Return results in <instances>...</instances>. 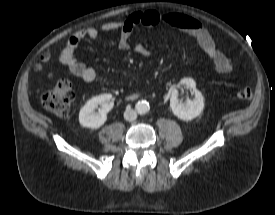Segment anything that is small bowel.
I'll use <instances>...</instances> for the list:
<instances>
[{"label":"small bowel","instance_id":"obj_1","mask_svg":"<svg viewBox=\"0 0 275 215\" xmlns=\"http://www.w3.org/2000/svg\"><path fill=\"white\" fill-rule=\"evenodd\" d=\"M139 25L145 27L163 26L178 29L196 40L199 47L212 61L217 72L228 73L232 70L230 59L218 50L212 36L199 20L181 13L160 12L154 9L134 12L123 21L106 22L99 28L90 27L73 33L68 38L65 48L61 52V62L66 65L74 75L84 81H95L98 78L97 71L85 62L78 60L76 51L85 38L93 39L96 38L100 32L115 30L120 31L118 47L121 50L132 49L137 54L148 57L151 55V52L144 45L136 44L132 46L130 44L131 34L135 27Z\"/></svg>","mask_w":275,"mask_h":215}]
</instances>
